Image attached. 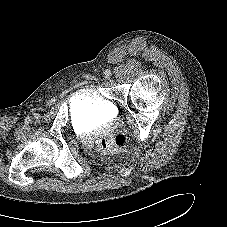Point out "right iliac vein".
Wrapping results in <instances>:
<instances>
[{
  "mask_svg": "<svg viewBox=\"0 0 227 227\" xmlns=\"http://www.w3.org/2000/svg\"><path fill=\"white\" fill-rule=\"evenodd\" d=\"M34 118L35 119H39L40 118V115L39 114H34Z\"/></svg>",
  "mask_w": 227,
  "mask_h": 227,
  "instance_id": "right-iliac-vein-1",
  "label": "right iliac vein"
}]
</instances>
